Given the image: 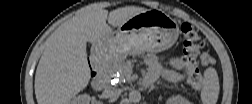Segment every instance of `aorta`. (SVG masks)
Masks as SVG:
<instances>
[{"label":"aorta","mask_w":252,"mask_h":104,"mask_svg":"<svg viewBox=\"0 0 252 104\" xmlns=\"http://www.w3.org/2000/svg\"><path fill=\"white\" fill-rule=\"evenodd\" d=\"M141 100V93L138 90H132L129 92V101L131 103H139Z\"/></svg>","instance_id":"1"}]
</instances>
